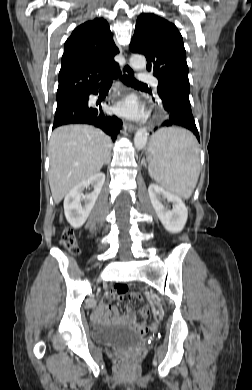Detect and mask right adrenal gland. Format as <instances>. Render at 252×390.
<instances>
[{"mask_svg": "<svg viewBox=\"0 0 252 390\" xmlns=\"http://www.w3.org/2000/svg\"><path fill=\"white\" fill-rule=\"evenodd\" d=\"M109 161H110V158L107 160V162H106L105 164H108V163H109Z\"/></svg>", "mask_w": 252, "mask_h": 390, "instance_id": "1", "label": "right adrenal gland"}]
</instances>
